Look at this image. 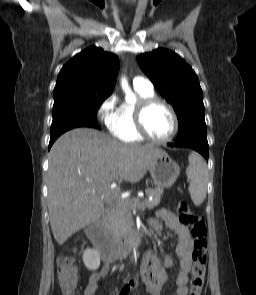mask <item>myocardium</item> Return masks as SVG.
<instances>
[{
	"label": "myocardium",
	"instance_id": "f54148a6",
	"mask_svg": "<svg viewBox=\"0 0 256 295\" xmlns=\"http://www.w3.org/2000/svg\"><path fill=\"white\" fill-rule=\"evenodd\" d=\"M155 104H162L163 106H165L172 116L173 129L171 134L165 138H156L152 136L151 133L148 131L146 123H145L146 112L148 111L150 107H152ZM134 117H135L136 129L139 132V134L143 138L154 143L163 144V143H167L171 141L175 137L179 129L178 116L173 106L166 100L156 96L139 100V102L136 104V107H135Z\"/></svg>",
	"mask_w": 256,
	"mask_h": 295
}]
</instances>
